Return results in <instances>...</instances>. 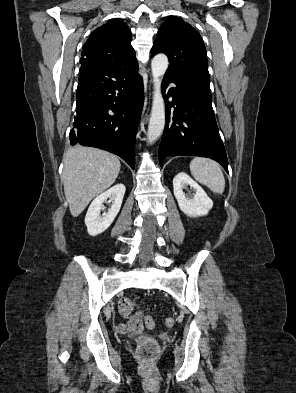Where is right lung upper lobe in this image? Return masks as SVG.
<instances>
[{
    "label": "right lung upper lobe",
    "instance_id": "1",
    "mask_svg": "<svg viewBox=\"0 0 296 393\" xmlns=\"http://www.w3.org/2000/svg\"><path fill=\"white\" fill-rule=\"evenodd\" d=\"M129 27L121 19H111L92 32L83 46L81 66L113 68L137 63Z\"/></svg>",
    "mask_w": 296,
    "mask_h": 393
}]
</instances>
